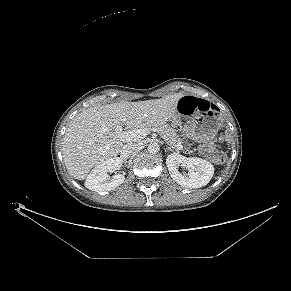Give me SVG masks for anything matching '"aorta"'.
Returning a JSON list of instances; mask_svg holds the SVG:
<instances>
[{
	"mask_svg": "<svg viewBox=\"0 0 291 291\" xmlns=\"http://www.w3.org/2000/svg\"><path fill=\"white\" fill-rule=\"evenodd\" d=\"M147 150L150 154H156L160 151V146L157 143L153 142L148 145Z\"/></svg>",
	"mask_w": 291,
	"mask_h": 291,
	"instance_id": "aorta-1",
	"label": "aorta"
}]
</instances>
